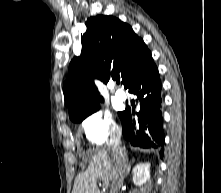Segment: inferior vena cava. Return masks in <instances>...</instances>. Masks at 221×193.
Segmentation results:
<instances>
[{"label":"inferior vena cava","instance_id":"inferior-vena-cava-1","mask_svg":"<svg viewBox=\"0 0 221 193\" xmlns=\"http://www.w3.org/2000/svg\"><path fill=\"white\" fill-rule=\"evenodd\" d=\"M121 134L118 132L110 141L109 148L117 153L115 160V168L113 171V178L111 181L110 193H118L121 188L126 172V160L120 152Z\"/></svg>","mask_w":221,"mask_h":193}]
</instances>
